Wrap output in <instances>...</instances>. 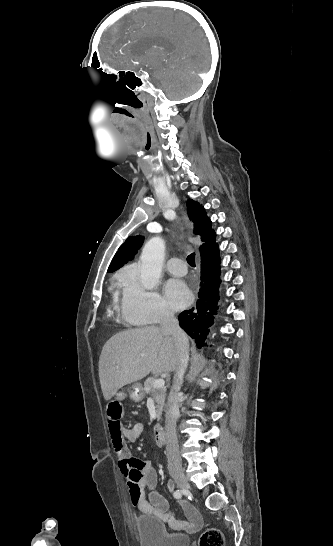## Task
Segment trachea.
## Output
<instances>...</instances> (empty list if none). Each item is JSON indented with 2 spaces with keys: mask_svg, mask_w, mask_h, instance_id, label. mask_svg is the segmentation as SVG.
<instances>
[{
  "mask_svg": "<svg viewBox=\"0 0 333 546\" xmlns=\"http://www.w3.org/2000/svg\"><path fill=\"white\" fill-rule=\"evenodd\" d=\"M187 262H188L192 267H195V254H194V253H191V254L187 257Z\"/></svg>",
  "mask_w": 333,
  "mask_h": 546,
  "instance_id": "3493384b",
  "label": "trachea"
}]
</instances>
